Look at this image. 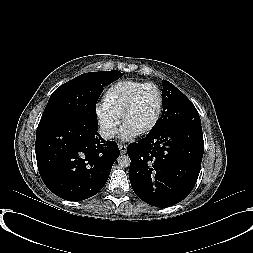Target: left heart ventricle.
Wrapping results in <instances>:
<instances>
[{
    "label": "left heart ventricle",
    "instance_id": "obj_1",
    "mask_svg": "<svg viewBox=\"0 0 253 253\" xmlns=\"http://www.w3.org/2000/svg\"><path fill=\"white\" fill-rule=\"evenodd\" d=\"M159 104L155 88L147 87L140 95L125 119V126L134 132L145 129L153 120Z\"/></svg>",
    "mask_w": 253,
    "mask_h": 253
}]
</instances>
